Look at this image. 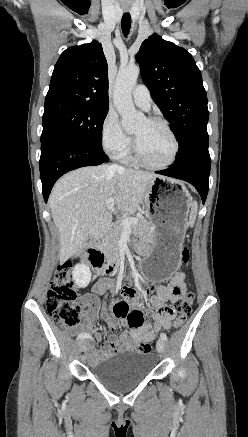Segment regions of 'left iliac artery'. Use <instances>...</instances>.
Wrapping results in <instances>:
<instances>
[{"label":"left iliac artery","mask_w":248,"mask_h":437,"mask_svg":"<svg viewBox=\"0 0 248 437\" xmlns=\"http://www.w3.org/2000/svg\"><path fill=\"white\" fill-rule=\"evenodd\" d=\"M161 339H163L164 341L167 340V335L165 333H161L160 334Z\"/></svg>","instance_id":"44dca946"}]
</instances>
